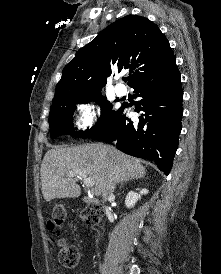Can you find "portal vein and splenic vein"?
I'll return each instance as SVG.
<instances>
[{
	"label": "portal vein and splenic vein",
	"instance_id": "1",
	"mask_svg": "<svg viewBox=\"0 0 221 274\" xmlns=\"http://www.w3.org/2000/svg\"><path fill=\"white\" fill-rule=\"evenodd\" d=\"M75 175H78L81 179H83L84 185L86 187H93L95 184V181L91 177H87V174L83 171H71L67 174L69 177H73Z\"/></svg>",
	"mask_w": 221,
	"mask_h": 274
}]
</instances>
